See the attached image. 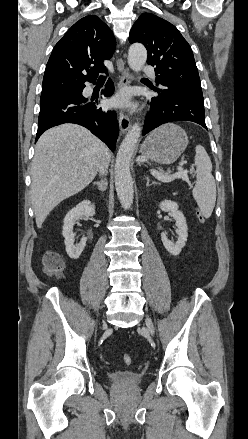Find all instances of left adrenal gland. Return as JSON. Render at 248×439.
I'll list each match as a JSON object with an SVG mask.
<instances>
[{
    "label": "left adrenal gland",
    "mask_w": 248,
    "mask_h": 439,
    "mask_svg": "<svg viewBox=\"0 0 248 439\" xmlns=\"http://www.w3.org/2000/svg\"><path fill=\"white\" fill-rule=\"evenodd\" d=\"M145 180H146V186H147V187H149L150 185L158 184L156 181H152V182H150L149 177H145Z\"/></svg>",
    "instance_id": "1"
}]
</instances>
